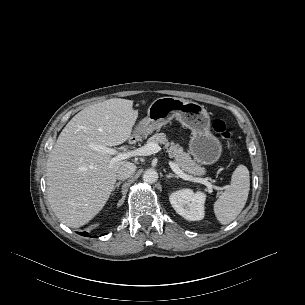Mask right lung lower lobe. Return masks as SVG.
<instances>
[{
  "label": "right lung lower lobe",
  "instance_id": "1",
  "mask_svg": "<svg viewBox=\"0 0 305 305\" xmlns=\"http://www.w3.org/2000/svg\"><path fill=\"white\" fill-rule=\"evenodd\" d=\"M79 234L82 236H89L86 232H80Z\"/></svg>",
  "mask_w": 305,
  "mask_h": 305
}]
</instances>
